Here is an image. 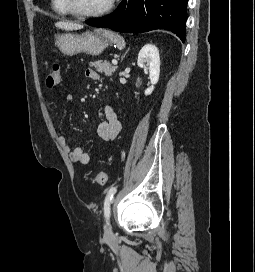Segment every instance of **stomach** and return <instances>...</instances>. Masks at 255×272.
I'll return each mask as SVG.
<instances>
[{
    "label": "stomach",
    "mask_w": 255,
    "mask_h": 272,
    "mask_svg": "<svg viewBox=\"0 0 255 272\" xmlns=\"http://www.w3.org/2000/svg\"><path fill=\"white\" fill-rule=\"evenodd\" d=\"M110 40L101 33L87 31L82 34L65 33L58 36L56 45L67 56L85 53L99 55L110 45Z\"/></svg>",
    "instance_id": "obj_1"
}]
</instances>
